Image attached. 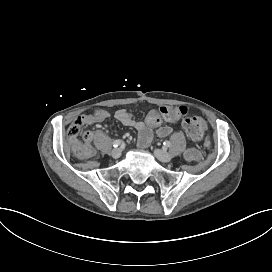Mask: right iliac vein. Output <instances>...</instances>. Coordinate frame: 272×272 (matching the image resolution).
<instances>
[{
  "mask_svg": "<svg viewBox=\"0 0 272 272\" xmlns=\"http://www.w3.org/2000/svg\"><path fill=\"white\" fill-rule=\"evenodd\" d=\"M122 150L120 148H115L111 151V156L114 159H118L121 156Z\"/></svg>",
  "mask_w": 272,
  "mask_h": 272,
  "instance_id": "1",
  "label": "right iliac vein"
}]
</instances>
